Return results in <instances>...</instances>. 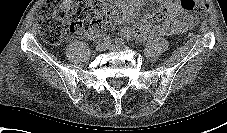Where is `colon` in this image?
<instances>
[{
    "mask_svg": "<svg viewBox=\"0 0 227 133\" xmlns=\"http://www.w3.org/2000/svg\"><path fill=\"white\" fill-rule=\"evenodd\" d=\"M184 10L204 15L207 0H180ZM119 10L109 0H47L37 15L41 36L49 43L64 41L69 33L102 30Z\"/></svg>",
    "mask_w": 227,
    "mask_h": 133,
    "instance_id": "obj_1",
    "label": "colon"
}]
</instances>
